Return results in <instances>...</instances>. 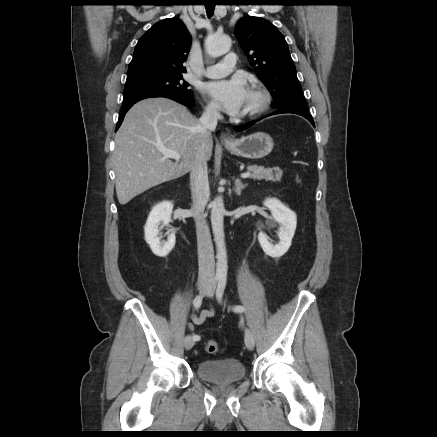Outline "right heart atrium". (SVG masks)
<instances>
[{"mask_svg":"<svg viewBox=\"0 0 437 437\" xmlns=\"http://www.w3.org/2000/svg\"><path fill=\"white\" fill-rule=\"evenodd\" d=\"M205 113L208 116L215 117L218 115V108L214 103L209 102L205 107Z\"/></svg>","mask_w":437,"mask_h":437,"instance_id":"right-heart-atrium-1","label":"right heart atrium"}]
</instances>
